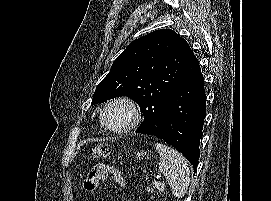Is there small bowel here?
I'll use <instances>...</instances> for the list:
<instances>
[{
  "mask_svg": "<svg viewBox=\"0 0 271 201\" xmlns=\"http://www.w3.org/2000/svg\"><path fill=\"white\" fill-rule=\"evenodd\" d=\"M106 179H111L119 190H123L126 187V180L119 169L109 165L100 164L96 165L89 172L84 181V188L88 191H93Z\"/></svg>",
  "mask_w": 271,
  "mask_h": 201,
  "instance_id": "c3829d8e",
  "label": "small bowel"
}]
</instances>
